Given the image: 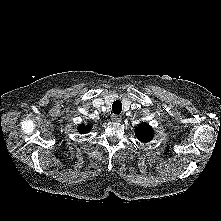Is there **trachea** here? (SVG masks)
<instances>
[{"mask_svg":"<svg viewBox=\"0 0 221 221\" xmlns=\"http://www.w3.org/2000/svg\"><path fill=\"white\" fill-rule=\"evenodd\" d=\"M112 111L114 114H120L122 111V103L119 100H116L112 104Z\"/></svg>","mask_w":221,"mask_h":221,"instance_id":"trachea-1","label":"trachea"}]
</instances>
